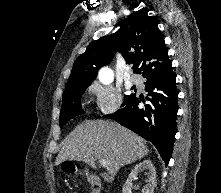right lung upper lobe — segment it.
Listing matches in <instances>:
<instances>
[{
	"label": "right lung upper lobe",
	"mask_w": 221,
	"mask_h": 193,
	"mask_svg": "<svg viewBox=\"0 0 221 193\" xmlns=\"http://www.w3.org/2000/svg\"><path fill=\"white\" fill-rule=\"evenodd\" d=\"M157 25L155 17L144 13L129 16L116 33L89 44L74 62L65 88L89 86L100 67L108 64L116 51L127 63L140 66L136 72L143 77L170 68L168 50Z\"/></svg>",
	"instance_id": "right-lung-upper-lobe-1"
}]
</instances>
